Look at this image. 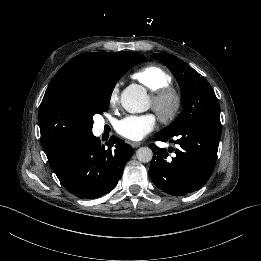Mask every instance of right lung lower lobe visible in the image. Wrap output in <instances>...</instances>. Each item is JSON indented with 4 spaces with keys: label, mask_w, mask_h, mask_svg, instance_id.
Here are the masks:
<instances>
[{
    "label": "right lung lower lobe",
    "mask_w": 261,
    "mask_h": 261,
    "mask_svg": "<svg viewBox=\"0 0 261 261\" xmlns=\"http://www.w3.org/2000/svg\"><path fill=\"white\" fill-rule=\"evenodd\" d=\"M106 144L91 133L48 158L61 184L76 197L98 198L117 185L133 148L115 136Z\"/></svg>",
    "instance_id": "1"
}]
</instances>
